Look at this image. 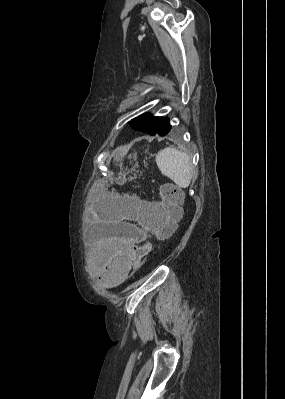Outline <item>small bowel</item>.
I'll return each instance as SVG.
<instances>
[{
	"label": "small bowel",
	"instance_id": "c3829d8e",
	"mask_svg": "<svg viewBox=\"0 0 285 399\" xmlns=\"http://www.w3.org/2000/svg\"><path fill=\"white\" fill-rule=\"evenodd\" d=\"M176 189L181 194V191ZM161 204L162 201L148 203L138 197H132L130 205L121 209L119 221L123 228L120 230V236L113 238L117 241V246L109 253L110 261L106 270L101 273L106 281L118 284L128 276L134 262L135 247L156 233L167 220Z\"/></svg>",
	"mask_w": 285,
	"mask_h": 399
}]
</instances>
